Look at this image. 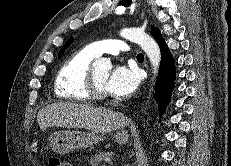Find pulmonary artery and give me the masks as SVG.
Here are the masks:
<instances>
[{"mask_svg":"<svg viewBox=\"0 0 231 166\" xmlns=\"http://www.w3.org/2000/svg\"><path fill=\"white\" fill-rule=\"evenodd\" d=\"M89 48L97 56H101L105 53L111 55H119L121 52H126L130 49L125 41L118 39H108L93 42L89 44Z\"/></svg>","mask_w":231,"mask_h":166,"instance_id":"1","label":"pulmonary artery"}]
</instances>
